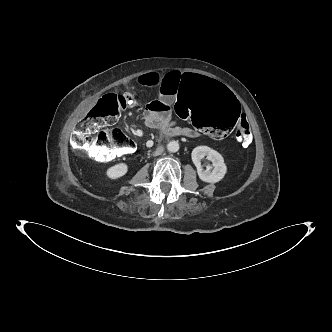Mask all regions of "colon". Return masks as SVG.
<instances>
[{
    "mask_svg": "<svg viewBox=\"0 0 332 332\" xmlns=\"http://www.w3.org/2000/svg\"><path fill=\"white\" fill-rule=\"evenodd\" d=\"M130 96L107 94L97 101L77 124L71 146L97 162H109L134 148L133 140L119 129L105 130L129 106ZM173 108L183 123L194 126L207 138L222 141L235 133L238 145L251 143V129L241 120V106L233 93L202 72L180 79L175 89ZM120 152V153H118Z\"/></svg>",
    "mask_w": 332,
    "mask_h": 332,
    "instance_id": "obj_1",
    "label": "colon"
}]
</instances>
